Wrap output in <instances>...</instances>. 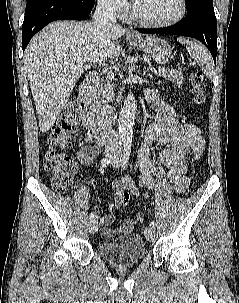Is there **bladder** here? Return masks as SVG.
<instances>
[{
  "instance_id": "bladder-1",
  "label": "bladder",
  "mask_w": 239,
  "mask_h": 303,
  "mask_svg": "<svg viewBox=\"0 0 239 303\" xmlns=\"http://www.w3.org/2000/svg\"><path fill=\"white\" fill-rule=\"evenodd\" d=\"M98 252L114 265L130 266L145 255V243L140 234L132 233L100 242Z\"/></svg>"
}]
</instances>
